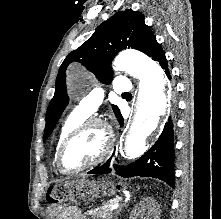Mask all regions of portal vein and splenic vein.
<instances>
[{"label":"portal vein and splenic vein","mask_w":221,"mask_h":219,"mask_svg":"<svg viewBox=\"0 0 221 219\" xmlns=\"http://www.w3.org/2000/svg\"><path fill=\"white\" fill-rule=\"evenodd\" d=\"M118 208V204L116 203V204H114L112 207H111V210H115V209H117Z\"/></svg>","instance_id":"portal-vein-and-splenic-vein-1"}]
</instances>
